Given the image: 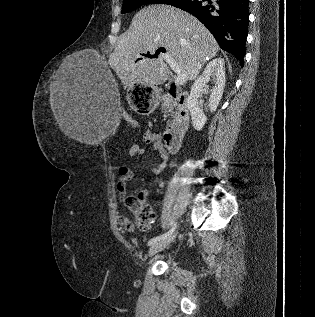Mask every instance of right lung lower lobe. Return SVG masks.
<instances>
[{
    "label": "right lung lower lobe",
    "instance_id": "obj_1",
    "mask_svg": "<svg viewBox=\"0 0 315 317\" xmlns=\"http://www.w3.org/2000/svg\"><path fill=\"white\" fill-rule=\"evenodd\" d=\"M249 0H178L172 4L198 18L222 50L243 64L248 35Z\"/></svg>",
    "mask_w": 315,
    "mask_h": 317
}]
</instances>
